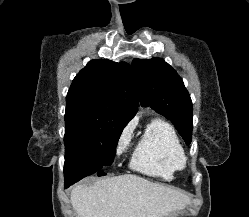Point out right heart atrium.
<instances>
[{
	"mask_svg": "<svg viewBox=\"0 0 249 217\" xmlns=\"http://www.w3.org/2000/svg\"><path fill=\"white\" fill-rule=\"evenodd\" d=\"M133 129H134V124L129 123L121 131V133L118 137L117 145H116L117 156L122 155L123 153H125L129 149L130 144H131Z\"/></svg>",
	"mask_w": 249,
	"mask_h": 217,
	"instance_id": "1",
	"label": "right heart atrium"
}]
</instances>
